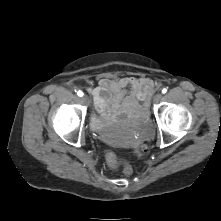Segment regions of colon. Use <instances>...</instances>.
Here are the masks:
<instances>
[{"label": "colon", "instance_id": "1", "mask_svg": "<svg viewBox=\"0 0 221 221\" xmlns=\"http://www.w3.org/2000/svg\"><path fill=\"white\" fill-rule=\"evenodd\" d=\"M137 152L139 154H144L146 152V146L144 144L137 146ZM107 163L110 167H116L117 165V158L113 153H108L106 156ZM123 172L126 175H131L133 173V168L128 163H123Z\"/></svg>", "mask_w": 221, "mask_h": 221}]
</instances>
